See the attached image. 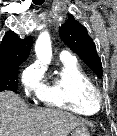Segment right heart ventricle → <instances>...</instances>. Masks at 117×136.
Instances as JSON below:
<instances>
[{"mask_svg": "<svg viewBox=\"0 0 117 136\" xmlns=\"http://www.w3.org/2000/svg\"><path fill=\"white\" fill-rule=\"evenodd\" d=\"M93 86L88 74L74 60H62L58 74L44 88L41 100L48 107L58 108L77 115H93L99 106L86 98Z\"/></svg>", "mask_w": 117, "mask_h": 136, "instance_id": "1", "label": "right heart ventricle"}]
</instances>
